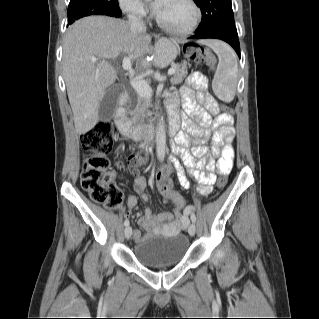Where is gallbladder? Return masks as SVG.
I'll return each instance as SVG.
<instances>
[{"instance_id": "1", "label": "gallbladder", "mask_w": 319, "mask_h": 319, "mask_svg": "<svg viewBox=\"0 0 319 319\" xmlns=\"http://www.w3.org/2000/svg\"><path fill=\"white\" fill-rule=\"evenodd\" d=\"M123 91L124 87L122 85H114L106 92L98 108L100 121L107 122L113 118L119 96Z\"/></svg>"}]
</instances>
